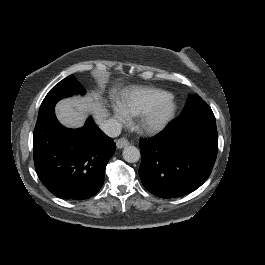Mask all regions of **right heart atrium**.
Instances as JSON below:
<instances>
[{
    "instance_id": "right-heart-atrium-1",
    "label": "right heart atrium",
    "mask_w": 265,
    "mask_h": 265,
    "mask_svg": "<svg viewBox=\"0 0 265 265\" xmlns=\"http://www.w3.org/2000/svg\"><path fill=\"white\" fill-rule=\"evenodd\" d=\"M126 121H127V119L120 117L118 113H116V114L113 116V118H112V124H113V125H117L118 123H122V124H123V123H125Z\"/></svg>"
}]
</instances>
